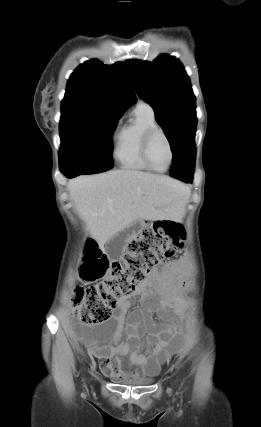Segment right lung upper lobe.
<instances>
[{
    "mask_svg": "<svg viewBox=\"0 0 261 427\" xmlns=\"http://www.w3.org/2000/svg\"><path fill=\"white\" fill-rule=\"evenodd\" d=\"M134 101L125 64L108 66L94 59L80 65L70 76L61 111L89 110L120 117Z\"/></svg>",
    "mask_w": 261,
    "mask_h": 427,
    "instance_id": "cb5924a9",
    "label": "right lung upper lobe"
}]
</instances>
